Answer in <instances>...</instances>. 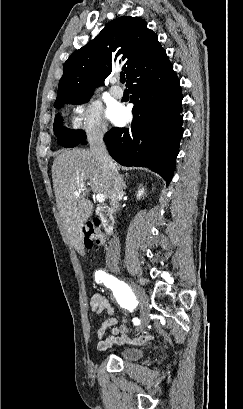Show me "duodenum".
<instances>
[{
	"instance_id": "duodenum-1",
	"label": "duodenum",
	"mask_w": 243,
	"mask_h": 409,
	"mask_svg": "<svg viewBox=\"0 0 243 409\" xmlns=\"http://www.w3.org/2000/svg\"><path fill=\"white\" fill-rule=\"evenodd\" d=\"M100 222L105 230L106 233H110L112 231L114 225V216L113 211L108 206H99L96 210Z\"/></svg>"
}]
</instances>
